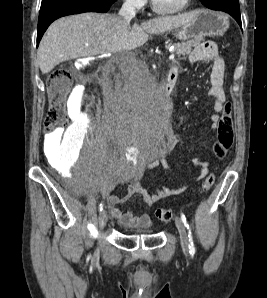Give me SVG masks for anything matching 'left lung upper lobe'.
Instances as JSON below:
<instances>
[{
    "label": "left lung upper lobe",
    "mask_w": 267,
    "mask_h": 298,
    "mask_svg": "<svg viewBox=\"0 0 267 298\" xmlns=\"http://www.w3.org/2000/svg\"><path fill=\"white\" fill-rule=\"evenodd\" d=\"M205 6L210 9H215L218 4H228L232 2L233 4H239L238 0H200Z\"/></svg>",
    "instance_id": "1"
}]
</instances>
